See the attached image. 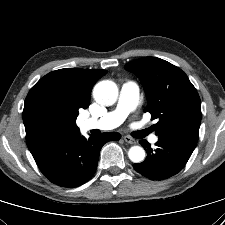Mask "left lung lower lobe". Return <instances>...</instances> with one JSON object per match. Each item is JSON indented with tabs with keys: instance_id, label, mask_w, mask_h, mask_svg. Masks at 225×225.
<instances>
[{
	"instance_id": "1",
	"label": "left lung lower lobe",
	"mask_w": 225,
	"mask_h": 225,
	"mask_svg": "<svg viewBox=\"0 0 225 225\" xmlns=\"http://www.w3.org/2000/svg\"><path fill=\"white\" fill-rule=\"evenodd\" d=\"M147 151L142 163L134 164V169L152 180H164L178 172L186 165L194 149L178 142L159 139L153 150L146 140L139 142Z\"/></svg>"
}]
</instances>
